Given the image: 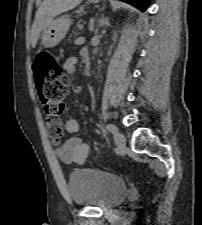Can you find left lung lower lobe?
I'll return each instance as SVG.
<instances>
[{
  "mask_svg": "<svg viewBox=\"0 0 202 225\" xmlns=\"http://www.w3.org/2000/svg\"><path fill=\"white\" fill-rule=\"evenodd\" d=\"M122 1L132 4L142 11L145 10V8L149 2V0H122Z\"/></svg>",
  "mask_w": 202,
  "mask_h": 225,
  "instance_id": "1",
  "label": "left lung lower lobe"
}]
</instances>
